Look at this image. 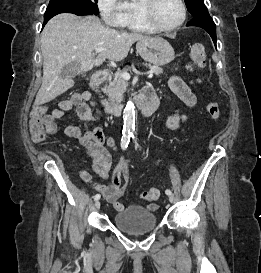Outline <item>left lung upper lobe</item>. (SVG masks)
<instances>
[{
  "label": "left lung upper lobe",
  "instance_id": "1",
  "mask_svg": "<svg viewBox=\"0 0 261 273\" xmlns=\"http://www.w3.org/2000/svg\"><path fill=\"white\" fill-rule=\"evenodd\" d=\"M185 3L192 16H196L207 11L203 0H185Z\"/></svg>",
  "mask_w": 261,
  "mask_h": 273
}]
</instances>
